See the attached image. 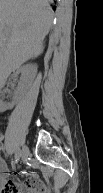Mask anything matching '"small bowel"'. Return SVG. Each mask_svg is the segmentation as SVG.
Returning a JSON list of instances; mask_svg holds the SVG:
<instances>
[{
    "label": "small bowel",
    "mask_w": 103,
    "mask_h": 193,
    "mask_svg": "<svg viewBox=\"0 0 103 193\" xmlns=\"http://www.w3.org/2000/svg\"><path fill=\"white\" fill-rule=\"evenodd\" d=\"M0 172L1 193H20L18 190L20 186L25 187L26 193H51L49 187L43 184L35 173L25 172L23 174L26 177L25 183L16 184L9 179V169L4 162L0 165Z\"/></svg>",
    "instance_id": "obj_1"
}]
</instances>
